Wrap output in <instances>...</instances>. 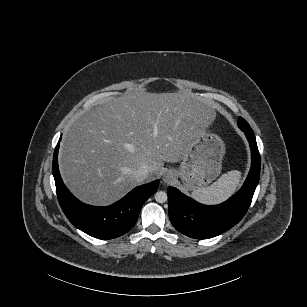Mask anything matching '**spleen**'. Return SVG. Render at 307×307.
<instances>
[{
  "mask_svg": "<svg viewBox=\"0 0 307 307\" xmlns=\"http://www.w3.org/2000/svg\"><path fill=\"white\" fill-rule=\"evenodd\" d=\"M241 172L232 170L223 174L208 187H202L192 192V197L205 204H218L230 197L240 184Z\"/></svg>",
  "mask_w": 307,
  "mask_h": 307,
  "instance_id": "1",
  "label": "spleen"
}]
</instances>
